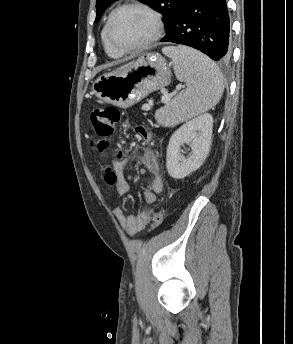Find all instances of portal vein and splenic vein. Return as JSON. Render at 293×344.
I'll return each instance as SVG.
<instances>
[{
	"label": "portal vein and splenic vein",
	"instance_id": "obj_1",
	"mask_svg": "<svg viewBox=\"0 0 293 344\" xmlns=\"http://www.w3.org/2000/svg\"><path fill=\"white\" fill-rule=\"evenodd\" d=\"M178 90H180V87H178V88L176 89V91H174V92L171 93V94L163 95L162 98H161V101H162L163 103H167V102L170 100V98H171L173 95H175V94L177 93Z\"/></svg>",
	"mask_w": 293,
	"mask_h": 344
}]
</instances>
